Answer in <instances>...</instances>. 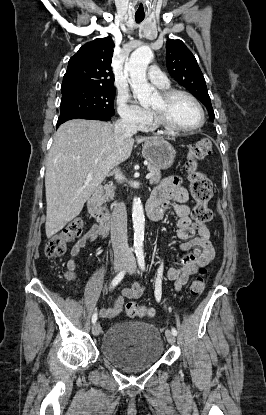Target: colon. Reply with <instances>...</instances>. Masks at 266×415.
Segmentation results:
<instances>
[{
  "instance_id": "obj_1",
  "label": "colon",
  "mask_w": 266,
  "mask_h": 415,
  "mask_svg": "<svg viewBox=\"0 0 266 415\" xmlns=\"http://www.w3.org/2000/svg\"><path fill=\"white\" fill-rule=\"evenodd\" d=\"M212 153V142L201 139L194 143L188 152L186 168L189 173L191 195L195 201L192 210L193 220L197 225H206L212 220L213 214L208 206L212 198L213 188L210 179L199 170V161ZM83 220L79 217L71 220L62 231L54 235L45 245V255L49 258L62 256L70 242L79 237L83 230ZM205 288L204 270L192 281L190 292L199 295ZM126 313L130 317L152 316L154 311L135 302L126 305Z\"/></svg>"
}]
</instances>
